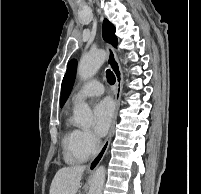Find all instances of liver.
<instances>
[{
  "mask_svg": "<svg viewBox=\"0 0 201 194\" xmlns=\"http://www.w3.org/2000/svg\"><path fill=\"white\" fill-rule=\"evenodd\" d=\"M85 169L81 165L59 169L52 180L49 194H76Z\"/></svg>",
  "mask_w": 201,
  "mask_h": 194,
  "instance_id": "liver-1",
  "label": "liver"
}]
</instances>
